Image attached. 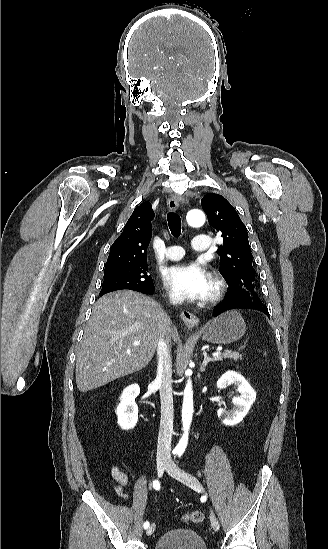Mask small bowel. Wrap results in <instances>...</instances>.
<instances>
[{
    "instance_id": "1",
    "label": "small bowel",
    "mask_w": 328,
    "mask_h": 549,
    "mask_svg": "<svg viewBox=\"0 0 328 549\" xmlns=\"http://www.w3.org/2000/svg\"><path fill=\"white\" fill-rule=\"evenodd\" d=\"M111 476L116 482V485H115L116 493L118 494V496L123 497L124 496L123 488L128 482L127 475L124 472H122L118 467L113 466L111 468Z\"/></svg>"
}]
</instances>
